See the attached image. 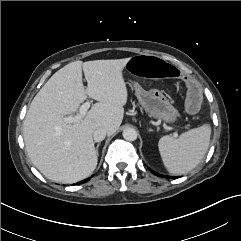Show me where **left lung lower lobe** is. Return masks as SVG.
Returning <instances> with one entry per match:
<instances>
[{
  "instance_id": "0a47b994",
  "label": "left lung lower lobe",
  "mask_w": 241,
  "mask_h": 241,
  "mask_svg": "<svg viewBox=\"0 0 241 241\" xmlns=\"http://www.w3.org/2000/svg\"><path fill=\"white\" fill-rule=\"evenodd\" d=\"M152 173L155 174V175H157V176H161V175H159V174H157V173H155V172H153V171H152Z\"/></svg>"
}]
</instances>
